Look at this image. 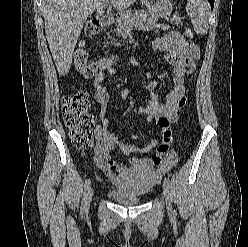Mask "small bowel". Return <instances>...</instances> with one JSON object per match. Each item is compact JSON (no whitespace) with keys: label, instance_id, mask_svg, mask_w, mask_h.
Returning <instances> with one entry per match:
<instances>
[{"label":"small bowel","instance_id":"small-bowel-1","mask_svg":"<svg viewBox=\"0 0 248 247\" xmlns=\"http://www.w3.org/2000/svg\"><path fill=\"white\" fill-rule=\"evenodd\" d=\"M152 46L160 51L163 59L172 66L173 86L164 98L155 90L157 81L152 80L147 84L150 92L149 104L138 109V114L146 115L149 122H155L161 129L162 139H153L148 144L137 145L132 142H123L116 138L109 130L110 120L106 116L107 106L110 101L109 90L104 84L106 72L115 73L114 65L119 57L115 54L104 57L98 61V73L93 80L95 100L102 105L100 112L101 123L95 130L96 146L94 149V162L109 182L116 181V172L123 173L126 166L117 163L112 151L118 148L123 154L129 155L134 166L152 169L160 166L163 170L172 168L177 162V156L170 151L174 137L170 124L178 119V111L187 103L186 82L194 73L196 62L199 58V48L186 40L179 32L169 30L163 36L156 38ZM133 136L132 140H136ZM156 152L150 157L136 158L133 154L147 153L152 149Z\"/></svg>","mask_w":248,"mask_h":247}]
</instances>
